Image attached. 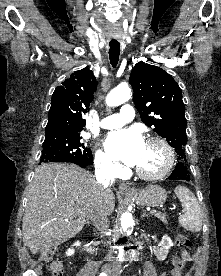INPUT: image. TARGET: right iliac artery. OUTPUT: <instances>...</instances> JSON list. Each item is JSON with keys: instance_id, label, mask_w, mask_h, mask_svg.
<instances>
[{"instance_id": "obj_1", "label": "right iliac artery", "mask_w": 221, "mask_h": 276, "mask_svg": "<svg viewBox=\"0 0 221 276\" xmlns=\"http://www.w3.org/2000/svg\"><path fill=\"white\" fill-rule=\"evenodd\" d=\"M100 276H107L105 273H101Z\"/></svg>"}]
</instances>
